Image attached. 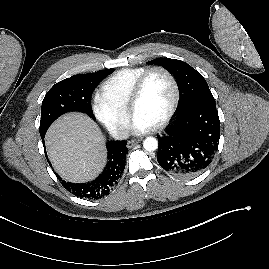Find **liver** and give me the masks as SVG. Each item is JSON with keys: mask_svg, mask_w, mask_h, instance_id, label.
<instances>
[{"mask_svg": "<svg viewBox=\"0 0 269 269\" xmlns=\"http://www.w3.org/2000/svg\"><path fill=\"white\" fill-rule=\"evenodd\" d=\"M45 142L55 170L65 180L93 179L105 163L102 133L97 124L82 113L59 118L48 130Z\"/></svg>", "mask_w": 269, "mask_h": 269, "instance_id": "1", "label": "liver"}]
</instances>
